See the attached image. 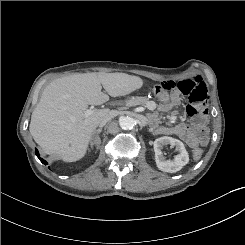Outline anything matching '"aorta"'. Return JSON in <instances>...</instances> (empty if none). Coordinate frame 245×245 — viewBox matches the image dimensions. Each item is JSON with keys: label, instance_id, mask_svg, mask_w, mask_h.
Returning a JSON list of instances; mask_svg holds the SVG:
<instances>
[{"label": "aorta", "instance_id": "762f6f07", "mask_svg": "<svg viewBox=\"0 0 245 245\" xmlns=\"http://www.w3.org/2000/svg\"><path fill=\"white\" fill-rule=\"evenodd\" d=\"M119 125L124 130H131L136 125V121L130 116H125L119 119Z\"/></svg>", "mask_w": 245, "mask_h": 245}]
</instances>
